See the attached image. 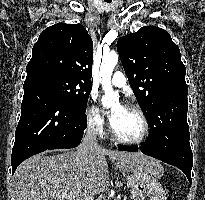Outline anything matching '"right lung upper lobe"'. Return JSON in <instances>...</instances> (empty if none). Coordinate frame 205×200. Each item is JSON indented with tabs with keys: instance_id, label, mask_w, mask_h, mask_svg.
I'll use <instances>...</instances> for the list:
<instances>
[{
	"instance_id": "cb5924a9",
	"label": "right lung upper lobe",
	"mask_w": 205,
	"mask_h": 200,
	"mask_svg": "<svg viewBox=\"0 0 205 200\" xmlns=\"http://www.w3.org/2000/svg\"><path fill=\"white\" fill-rule=\"evenodd\" d=\"M93 42L81 24L58 23L46 28L32 49L27 77L58 74L91 84Z\"/></svg>"
}]
</instances>
